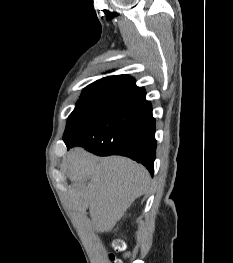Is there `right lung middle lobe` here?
Wrapping results in <instances>:
<instances>
[{"label":"right lung middle lobe","instance_id":"obj_1","mask_svg":"<svg viewBox=\"0 0 233 263\" xmlns=\"http://www.w3.org/2000/svg\"><path fill=\"white\" fill-rule=\"evenodd\" d=\"M112 95H82L70 114L64 141L75 140L90 129L107 112L116 100Z\"/></svg>","mask_w":233,"mask_h":263}]
</instances>
